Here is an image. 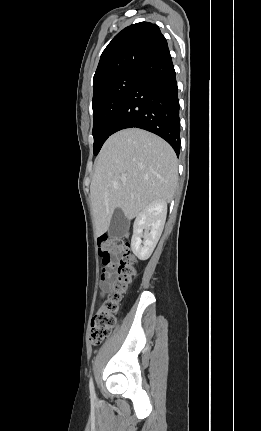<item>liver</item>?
I'll list each match as a JSON object with an SVG mask.
<instances>
[{"label":"liver","mask_w":261,"mask_h":431,"mask_svg":"<svg viewBox=\"0 0 261 431\" xmlns=\"http://www.w3.org/2000/svg\"><path fill=\"white\" fill-rule=\"evenodd\" d=\"M177 183V158L162 138L138 128L111 135L95 160L90 185L96 234L107 232L117 208L131 220L151 202H170Z\"/></svg>","instance_id":"1"}]
</instances>
